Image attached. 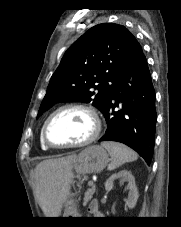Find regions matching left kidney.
I'll use <instances>...</instances> for the list:
<instances>
[{
	"instance_id": "5707ae66",
	"label": "left kidney",
	"mask_w": 181,
	"mask_h": 227,
	"mask_svg": "<svg viewBox=\"0 0 181 227\" xmlns=\"http://www.w3.org/2000/svg\"><path fill=\"white\" fill-rule=\"evenodd\" d=\"M116 179H121L123 182L124 181L128 182L129 193L128 198L126 199L125 202L130 209H133L138 199V190L135 184L134 176L128 170H121L120 172L111 175L105 182V189L107 191L112 190L114 180Z\"/></svg>"
}]
</instances>
